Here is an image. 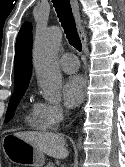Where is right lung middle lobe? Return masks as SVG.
Here are the masks:
<instances>
[{"mask_svg":"<svg viewBox=\"0 0 125 167\" xmlns=\"http://www.w3.org/2000/svg\"><path fill=\"white\" fill-rule=\"evenodd\" d=\"M26 89H21V90H15L8 105L6 117H5V122H8L11 120L14 116L15 109L21 100L22 96L24 95Z\"/></svg>","mask_w":125,"mask_h":167,"instance_id":"obj_1","label":"right lung middle lobe"}]
</instances>
